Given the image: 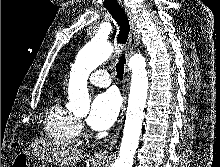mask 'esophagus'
<instances>
[{
    "label": "esophagus",
    "instance_id": "obj_1",
    "mask_svg": "<svg viewBox=\"0 0 220 167\" xmlns=\"http://www.w3.org/2000/svg\"><path fill=\"white\" fill-rule=\"evenodd\" d=\"M124 10L128 16L129 23H130V33H129V41H128V50H127V63L125 65V71H124V84H123V109H125L126 106V101H127V93L129 90V85H130V72L128 68V60L130 56L136 51L137 47L140 44V35L139 31L137 29L132 9L129 6H125ZM122 122H123V112L120 114V118L118 120V125L116 127L115 133L112 136L111 140L108 142L107 145H105L102 149L97 151L95 153V159L96 160H105L107 159L113 150V147L119 137V133L122 128Z\"/></svg>",
    "mask_w": 220,
    "mask_h": 167
}]
</instances>
